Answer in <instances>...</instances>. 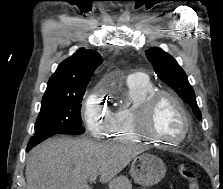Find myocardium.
Returning <instances> with one entry per match:
<instances>
[{"mask_svg": "<svg viewBox=\"0 0 223 189\" xmlns=\"http://www.w3.org/2000/svg\"><path fill=\"white\" fill-rule=\"evenodd\" d=\"M163 98L170 99L177 106L183 116L184 130L182 135L176 140H167L151 133L149 130V124L153 111L157 103ZM132 120L134 129L140 139L161 143L169 147L178 146L180 143L186 140L191 132L192 127L191 116L182 100L175 94L164 90L153 91L146 98H144L134 110Z\"/></svg>", "mask_w": 223, "mask_h": 189, "instance_id": "myocardium-1", "label": "myocardium"}]
</instances>
